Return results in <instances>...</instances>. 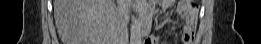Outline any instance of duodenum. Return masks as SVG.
Returning <instances> with one entry per match:
<instances>
[{
  "label": "duodenum",
  "mask_w": 261,
  "mask_h": 44,
  "mask_svg": "<svg viewBox=\"0 0 261 44\" xmlns=\"http://www.w3.org/2000/svg\"><path fill=\"white\" fill-rule=\"evenodd\" d=\"M152 19L145 12L140 16V32L142 35H148L151 29Z\"/></svg>",
  "instance_id": "duodenum-1"
}]
</instances>
